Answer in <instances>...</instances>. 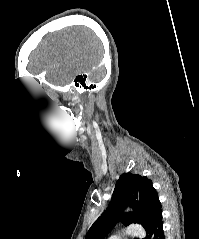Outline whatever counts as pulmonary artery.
Wrapping results in <instances>:
<instances>
[{
  "instance_id": "obj_1",
  "label": "pulmonary artery",
  "mask_w": 199,
  "mask_h": 239,
  "mask_svg": "<svg viewBox=\"0 0 199 239\" xmlns=\"http://www.w3.org/2000/svg\"><path fill=\"white\" fill-rule=\"evenodd\" d=\"M145 234L144 229L139 225V224H131L127 231H126V235L129 237H143ZM109 239H121V237L119 235H112L109 237Z\"/></svg>"
}]
</instances>
